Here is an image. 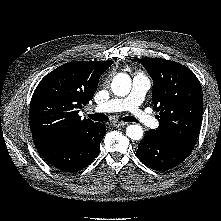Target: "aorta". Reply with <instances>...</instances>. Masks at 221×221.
<instances>
[{"instance_id": "obj_1", "label": "aorta", "mask_w": 221, "mask_h": 221, "mask_svg": "<svg viewBox=\"0 0 221 221\" xmlns=\"http://www.w3.org/2000/svg\"><path fill=\"white\" fill-rule=\"evenodd\" d=\"M112 91L117 96H126L131 90V79L124 73L117 74L111 84ZM127 136L132 140H140L143 129L139 125H129L126 129Z\"/></svg>"}]
</instances>
